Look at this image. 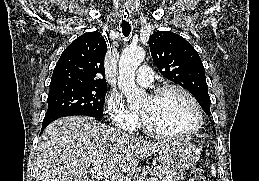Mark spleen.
<instances>
[{"label":"spleen","instance_id":"3e777b00","mask_svg":"<svg viewBox=\"0 0 259 181\" xmlns=\"http://www.w3.org/2000/svg\"><path fill=\"white\" fill-rule=\"evenodd\" d=\"M211 175L213 177H216V167H215V164L211 165Z\"/></svg>","mask_w":259,"mask_h":181}]
</instances>
